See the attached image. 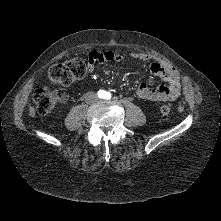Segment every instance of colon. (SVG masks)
I'll return each instance as SVG.
<instances>
[{
    "mask_svg": "<svg viewBox=\"0 0 221 221\" xmlns=\"http://www.w3.org/2000/svg\"><path fill=\"white\" fill-rule=\"evenodd\" d=\"M88 71V64L80 58H73L64 63L50 67L48 77L54 83L68 85L83 78ZM67 96L66 90L62 88L51 89L44 86L35 90L33 94V101L36 104L39 113L47 114L57 104L64 102L67 99ZM170 112L171 107L169 105H162L159 108V113L162 116H167Z\"/></svg>",
    "mask_w": 221,
    "mask_h": 221,
    "instance_id": "1",
    "label": "colon"
}]
</instances>
